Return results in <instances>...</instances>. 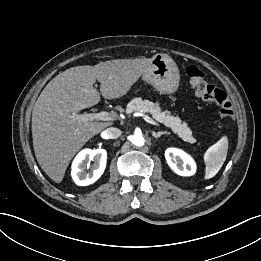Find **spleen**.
I'll list each match as a JSON object with an SVG mask.
<instances>
[{"instance_id": "spleen-1", "label": "spleen", "mask_w": 261, "mask_h": 261, "mask_svg": "<svg viewBox=\"0 0 261 261\" xmlns=\"http://www.w3.org/2000/svg\"><path fill=\"white\" fill-rule=\"evenodd\" d=\"M228 151V138L222 136L219 141L209 147L204 155L205 160V179L213 178L223 166Z\"/></svg>"}]
</instances>
